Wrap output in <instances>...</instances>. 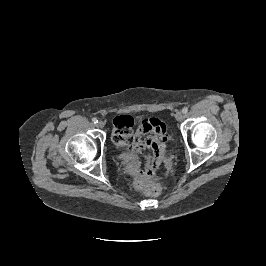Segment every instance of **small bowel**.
I'll return each instance as SVG.
<instances>
[{
    "label": "small bowel",
    "mask_w": 266,
    "mask_h": 266,
    "mask_svg": "<svg viewBox=\"0 0 266 266\" xmlns=\"http://www.w3.org/2000/svg\"><path fill=\"white\" fill-rule=\"evenodd\" d=\"M134 120L129 115L117 116L113 120L112 139L114 143L130 150L132 162L127 170L131 175L150 177L161 165L166 151L167 129L165 124L156 118L143 120L136 132L132 127ZM151 150V154L145 156L144 152ZM146 158L145 169H141L143 158Z\"/></svg>",
    "instance_id": "1"
}]
</instances>
